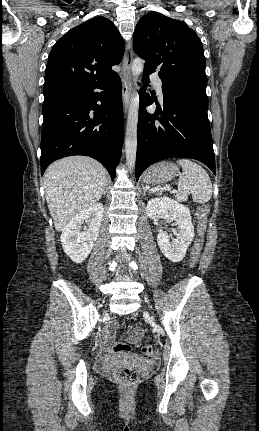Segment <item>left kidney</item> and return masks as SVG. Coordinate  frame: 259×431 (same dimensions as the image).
I'll use <instances>...</instances> for the list:
<instances>
[{"instance_id":"5707ae66","label":"left kidney","mask_w":259,"mask_h":431,"mask_svg":"<svg viewBox=\"0 0 259 431\" xmlns=\"http://www.w3.org/2000/svg\"><path fill=\"white\" fill-rule=\"evenodd\" d=\"M146 211L151 219L163 218L176 222L177 230L174 231L176 238L170 242V236L159 229L157 242L165 257L172 262L181 261L194 238L189 208L171 198L162 197L149 200Z\"/></svg>"}]
</instances>
